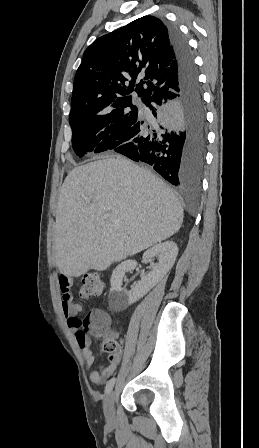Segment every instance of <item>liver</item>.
Returning a JSON list of instances; mask_svg holds the SVG:
<instances>
[{"instance_id": "1", "label": "liver", "mask_w": 259, "mask_h": 448, "mask_svg": "<svg viewBox=\"0 0 259 448\" xmlns=\"http://www.w3.org/2000/svg\"><path fill=\"white\" fill-rule=\"evenodd\" d=\"M103 214H111L104 220ZM183 208L149 170L109 156L69 172L56 208L54 250L64 276L107 270L180 230Z\"/></svg>"}]
</instances>
